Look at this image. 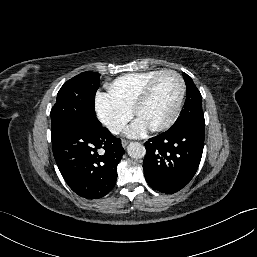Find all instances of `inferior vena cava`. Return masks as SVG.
Instances as JSON below:
<instances>
[{
  "label": "inferior vena cava",
  "instance_id": "inferior-vena-cava-1",
  "mask_svg": "<svg viewBox=\"0 0 257 257\" xmlns=\"http://www.w3.org/2000/svg\"><path fill=\"white\" fill-rule=\"evenodd\" d=\"M124 125L122 123L113 122L109 125V130L112 134H120Z\"/></svg>",
  "mask_w": 257,
  "mask_h": 257
}]
</instances>
